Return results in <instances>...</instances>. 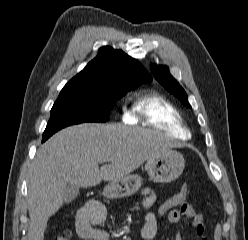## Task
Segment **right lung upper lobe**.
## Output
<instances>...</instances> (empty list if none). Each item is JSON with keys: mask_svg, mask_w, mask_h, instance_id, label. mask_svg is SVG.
I'll list each match as a JSON object with an SVG mask.
<instances>
[{"mask_svg": "<svg viewBox=\"0 0 248 240\" xmlns=\"http://www.w3.org/2000/svg\"><path fill=\"white\" fill-rule=\"evenodd\" d=\"M133 80L144 83L152 78L140 62L121 50L105 46L63 89H106Z\"/></svg>", "mask_w": 248, "mask_h": 240, "instance_id": "cb5924a9", "label": "right lung upper lobe"}]
</instances>
